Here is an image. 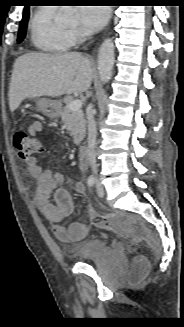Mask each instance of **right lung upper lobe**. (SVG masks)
Segmentation results:
<instances>
[{"instance_id":"right-lung-upper-lobe-1","label":"right lung upper lobe","mask_w":184,"mask_h":327,"mask_svg":"<svg viewBox=\"0 0 184 327\" xmlns=\"http://www.w3.org/2000/svg\"><path fill=\"white\" fill-rule=\"evenodd\" d=\"M28 11H29V7L25 6L23 13L28 12Z\"/></svg>"}]
</instances>
